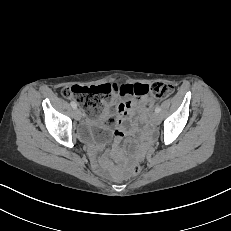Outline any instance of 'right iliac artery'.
Listing matches in <instances>:
<instances>
[{
    "label": "right iliac artery",
    "mask_w": 231,
    "mask_h": 231,
    "mask_svg": "<svg viewBox=\"0 0 231 231\" xmlns=\"http://www.w3.org/2000/svg\"><path fill=\"white\" fill-rule=\"evenodd\" d=\"M70 104H71L72 108H74V109L77 108V104L74 101H72Z\"/></svg>",
    "instance_id": "obj_1"
}]
</instances>
